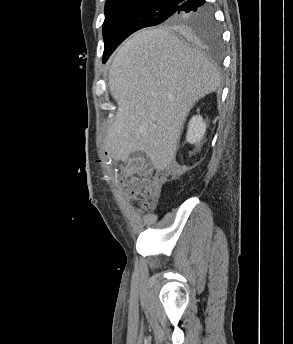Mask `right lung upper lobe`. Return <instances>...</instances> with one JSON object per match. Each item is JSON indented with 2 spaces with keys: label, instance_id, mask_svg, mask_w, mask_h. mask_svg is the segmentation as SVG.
Instances as JSON below:
<instances>
[{
  "label": "right lung upper lobe",
  "instance_id": "1",
  "mask_svg": "<svg viewBox=\"0 0 293 344\" xmlns=\"http://www.w3.org/2000/svg\"><path fill=\"white\" fill-rule=\"evenodd\" d=\"M129 1H163V2L173 3V4H180L184 0H107L106 4L118 3V2H129ZM164 24L167 25L166 23H164ZM167 26H169V25H167ZM169 27H171V26H169Z\"/></svg>",
  "mask_w": 293,
  "mask_h": 344
}]
</instances>
